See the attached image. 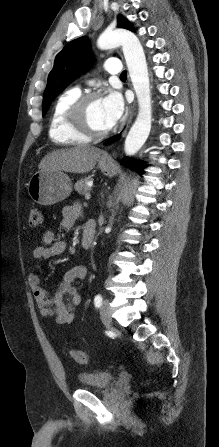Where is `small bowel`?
<instances>
[{"label":"small bowel","instance_id":"obj_1","mask_svg":"<svg viewBox=\"0 0 219 447\" xmlns=\"http://www.w3.org/2000/svg\"><path fill=\"white\" fill-rule=\"evenodd\" d=\"M80 215L78 205L65 207L62 211L61 227L69 230ZM42 241L46 245L39 246L34 250L33 256L36 259H51L65 252L66 243L64 241L54 240L51 232L44 233ZM86 274L87 269L84 265L72 267L57 283L52 296L41 286L39 276L36 273L29 274L27 278L28 285L33 293L41 316L44 318L54 316L59 324L71 323L74 319V308L82 301V297L75 288L74 283L83 280Z\"/></svg>","mask_w":219,"mask_h":447}]
</instances>
